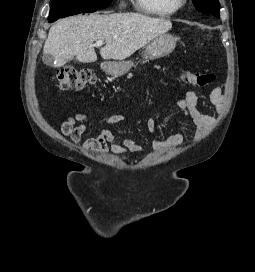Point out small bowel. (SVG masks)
Here are the masks:
<instances>
[{
  "label": "small bowel",
  "mask_w": 255,
  "mask_h": 272,
  "mask_svg": "<svg viewBox=\"0 0 255 272\" xmlns=\"http://www.w3.org/2000/svg\"><path fill=\"white\" fill-rule=\"evenodd\" d=\"M210 102L220 112L224 105L223 87L214 88L209 95ZM175 103L182 110L184 116L189 122L196 127L197 134L201 135L214 121L211 115L204 114L198 108L199 94L196 90H189L183 96L175 99ZM125 116L121 114H113L105 119V125H114L124 123ZM87 117L84 114H76L66 119L61 125V133L69 137L74 143L81 144L85 149L94 153L112 152L120 155L125 152H141L143 146L132 139L122 138L115 135L112 131L104 128L95 138H89L84 142L81 137L86 130ZM146 127L149 133L155 131L156 122L154 117H149L146 121ZM184 139L183 132L175 133L167 139L152 140V147L157 151H163L181 144Z\"/></svg>",
  "instance_id": "1"
}]
</instances>
